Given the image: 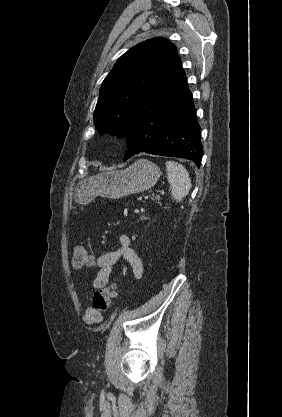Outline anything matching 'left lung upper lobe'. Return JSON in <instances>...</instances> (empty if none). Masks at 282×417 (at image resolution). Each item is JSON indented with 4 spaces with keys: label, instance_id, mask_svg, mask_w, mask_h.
<instances>
[{
    "label": "left lung upper lobe",
    "instance_id": "1",
    "mask_svg": "<svg viewBox=\"0 0 282 417\" xmlns=\"http://www.w3.org/2000/svg\"><path fill=\"white\" fill-rule=\"evenodd\" d=\"M179 60L176 46L162 37L141 42L122 55L100 88L94 112L99 133L125 137L134 112Z\"/></svg>",
    "mask_w": 282,
    "mask_h": 417
}]
</instances>
